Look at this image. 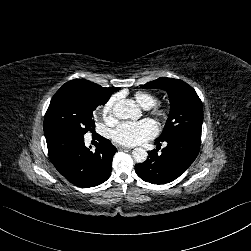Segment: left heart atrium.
Listing matches in <instances>:
<instances>
[{"mask_svg":"<svg viewBox=\"0 0 251 251\" xmlns=\"http://www.w3.org/2000/svg\"><path fill=\"white\" fill-rule=\"evenodd\" d=\"M157 131V125L150 119L123 122L112 131V138L117 144L134 146L153 138Z\"/></svg>","mask_w":251,"mask_h":251,"instance_id":"39dd6f15","label":"left heart atrium"}]
</instances>
